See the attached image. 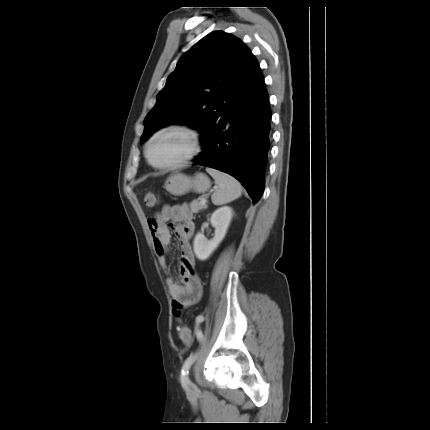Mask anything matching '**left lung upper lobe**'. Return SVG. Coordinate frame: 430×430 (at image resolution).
Returning <instances> with one entry per match:
<instances>
[{
  "label": "left lung upper lobe",
  "mask_w": 430,
  "mask_h": 430,
  "mask_svg": "<svg viewBox=\"0 0 430 430\" xmlns=\"http://www.w3.org/2000/svg\"><path fill=\"white\" fill-rule=\"evenodd\" d=\"M260 69L257 59L239 38L215 31L186 52L158 93L144 120L141 140L169 124H188L201 134L217 124L233 101L252 88Z\"/></svg>",
  "instance_id": "5c2ea615"
}]
</instances>
